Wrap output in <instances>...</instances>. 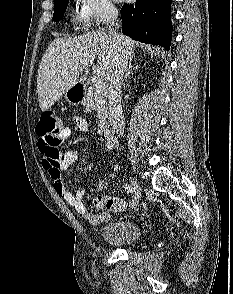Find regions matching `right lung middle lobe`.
I'll list each match as a JSON object with an SVG mask.
<instances>
[{"label":"right lung middle lobe","mask_w":233,"mask_h":294,"mask_svg":"<svg viewBox=\"0 0 233 294\" xmlns=\"http://www.w3.org/2000/svg\"><path fill=\"white\" fill-rule=\"evenodd\" d=\"M69 0H54V22L58 21L62 18L63 14L66 11L67 5H68Z\"/></svg>","instance_id":"1"}]
</instances>
